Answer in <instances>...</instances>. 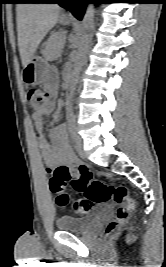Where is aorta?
I'll list each match as a JSON object with an SVG mask.
<instances>
[{
	"label": "aorta",
	"mask_w": 166,
	"mask_h": 267,
	"mask_svg": "<svg viewBox=\"0 0 166 267\" xmlns=\"http://www.w3.org/2000/svg\"><path fill=\"white\" fill-rule=\"evenodd\" d=\"M94 27V5L88 4L81 24V38L78 44V50L75 54L73 70L71 73L70 87L68 98H73L74 90L76 88L80 71L83 66L84 53L87 45L92 37V30Z\"/></svg>",
	"instance_id": "aorta-1"
}]
</instances>
